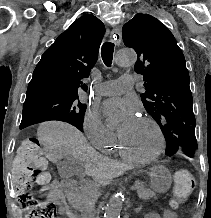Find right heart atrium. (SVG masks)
<instances>
[{
    "mask_svg": "<svg viewBox=\"0 0 211 218\" xmlns=\"http://www.w3.org/2000/svg\"><path fill=\"white\" fill-rule=\"evenodd\" d=\"M83 128L91 143L98 149L111 143L115 137L106 128L98 114L93 110H87L83 119Z\"/></svg>",
    "mask_w": 211,
    "mask_h": 218,
    "instance_id": "right-heart-atrium-1",
    "label": "right heart atrium"
}]
</instances>
